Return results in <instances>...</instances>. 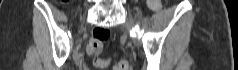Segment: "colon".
I'll list each match as a JSON object with an SVG mask.
<instances>
[{"label": "colon", "instance_id": "colon-1", "mask_svg": "<svg viewBox=\"0 0 238 70\" xmlns=\"http://www.w3.org/2000/svg\"><path fill=\"white\" fill-rule=\"evenodd\" d=\"M148 4L151 9L157 10L160 6L159 0H149ZM110 36V32L106 29H96L94 31V36L88 45V52L91 54L98 53L101 50L103 41L107 40ZM96 67L104 69L107 67L108 62L103 59L97 58L95 60ZM115 70H128V64L125 61H120L115 65Z\"/></svg>", "mask_w": 238, "mask_h": 70}]
</instances>
